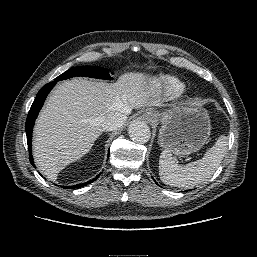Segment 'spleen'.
Returning <instances> with one entry per match:
<instances>
[{
	"mask_svg": "<svg viewBox=\"0 0 257 257\" xmlns=\"http://www.w3.org/2000/svg\"><path fill=\"white\" fill-rule=\"evenodd\" d=\"M228 138L221 135L214 146L207 150L203 158L195 162L179 165L168 149L162 151L159 160V176L162 182L175 187H193L209 179L223 160Z\"/></svg>",
	"mask_w": 257,
	"mask_h": 257,
	"instance_id": "3e777b00",
	"label": "spleen"
}]
</instances>
